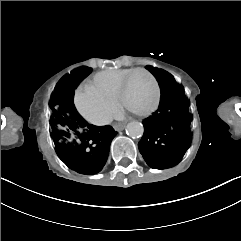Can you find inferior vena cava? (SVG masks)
I'll return each mask as SVG.
<instances>
[{
	"instance_id": "1",
	"label": "inferior vena cava",
	"mask_w": 241,
	"mask_h": 241,
	"mask_svg": "<svg viewBox=\"0 0 241 241\" xmlns=\"http://www.w3.org/2000/svg\"><path fill=\"white\" fill-rule=\"evenodd\" d=\"M112 122V118L110 116L105 117L102 119V122L97 121L94 124L97 126L109 125Z\"/></svg>"
}]
</instances>
